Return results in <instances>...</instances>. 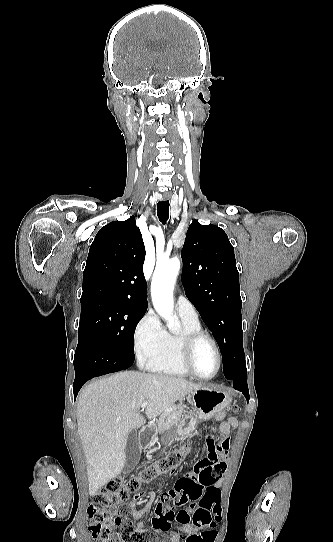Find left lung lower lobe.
Wrapping results in <instances>:
<instances>
[{
    "mask_svg": "<svg viewBox=\"0 0 333 542\" xmlns=\"http://www.w3.org/2000/svg\"><path fill=\"white\" fill-rule=\"evenodd\" d=\"M226 378L232 382L235 389L241 391L244 394L245 398L249 400L246 368L236 371Z\"/></svg>",
    "mask_w": 333,
    "mask_h": 542,
    "instance_id": "1",
    "label": "left lung lower lobe"
}]
</instances>
